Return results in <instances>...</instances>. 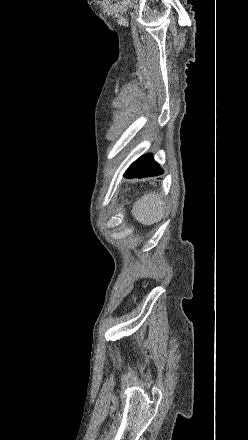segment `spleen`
I'll list each match as a JSON object with an SVG mask.
<instances>
[{
  "instance_id": "1",
  "label": "spleen",
  "mask_w": 248,
  "mask_h": 440,
  "mask_svg": "<svg viewBox=\"0 0 248 440\" xmlns=\"http://www.w3.org/2000/svg\"><path fill=\"white\" fill-rule=\"evenodd\" d=\"M132 214L142 224L152 225L163 218L165 205L160 195L150 192L134 203Z\"/></svg>"
}]
</instances>
